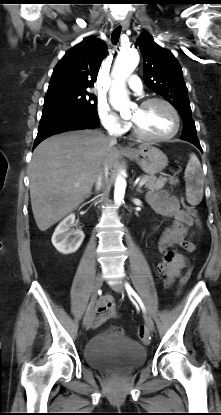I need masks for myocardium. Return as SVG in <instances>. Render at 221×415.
<instances>
[{"label": "myocardium", "instance_id": "1", "mask_svg": "<svg viewBox=\"0 0 221 415\" xmlns=\"http://www.w3.org/2000/svg\"><path fill=\"white\" fill-rule=\"evenodd\" d=\"M153 103H162L171 111L174 117V121H175L174 129L169 134H166L163 136L149 135L145 133L135 121L132 120V129H133L134 134L137 137L143 140H148V141H167V140L174 138L178 134L180 127H181V118H180L178 110L170 101L164 98H161V97L148 98L142 101L139 106L147 107Z\"/></svg>", "mask_w": 221, "mask_h": 415}]
</instances>
